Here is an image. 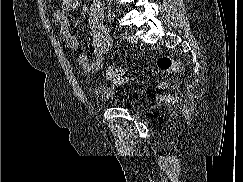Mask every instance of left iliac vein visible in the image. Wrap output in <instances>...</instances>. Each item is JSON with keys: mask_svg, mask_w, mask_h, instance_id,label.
I'll list each match as a JSON object with an SVG mask.
<instances>
[{"mask_svg": "<svg viewBox=\"0 0 243 182\" xmlns=\"http://www.w3.org/2000/svg\"><path fill=\"white\" fill-rule=\"evenodd\" d=\"M126 39H127V41L130 42V43H136V42H137V38H136V36L133 35V34H128V35L126 36Z\"/></svg>", "mask_w": 243, "mask_h": 182, "instance_id": "left-iliac-vein-1", "label": "left iliac vein"}]
</instances>
